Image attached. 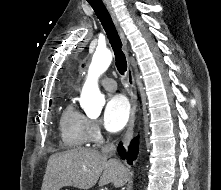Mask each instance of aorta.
<instances>
[{
    "label": "aorta",
    "mask_w": 221,
    "mask_h": 190,
    "mask_svg": "<svg viewBox=\"0 0 221 190\" xmlns=\"http://www.w3.org/2000/svg\"><path fill=\"white\" fill-rule=\"evenodd\" d=\"M112 53L108 49L96 50L81 92V105L88 117H98L105 103L98 87V78L110 66Z\"/></svg>",
    "instance_id": "762f6f07"
}]
</instances>
